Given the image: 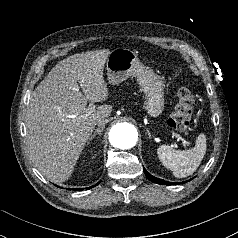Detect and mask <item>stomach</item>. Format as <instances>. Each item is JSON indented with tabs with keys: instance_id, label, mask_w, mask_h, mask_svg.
Returning a JSON list of instances; mask_svg holds the SVG:
<instances>
[{
	"instance_id": "1",
	"label": "stomach",
	"mask_w": 238,
	"mask_h": 238,
	"mask_svg": "<svg viewBox=\"0 0 238 238\" xmlns=\"http://www.w3.org/2000/svg\"><path fill=\"white\" fill-rule=\"evenodd\" d=\"M109 83L118 85L131 75L137 78L138 84L146 96L144 107L152 117H158L164 110V82L152 70L146 68L135 52L126 48H116L106 60Z\"/></svg>"
}]
</instances>
